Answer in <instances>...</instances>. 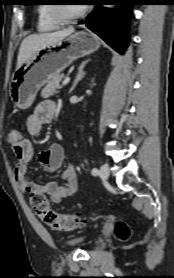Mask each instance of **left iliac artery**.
Listing matches in <instances>:
<instances>
[{"instance_id": "left-iliac-artery-1", "label": "left iliac artery", "mask_w": 174, "mask_h": 278, "mask_svg": "<svg viewBox=\"0 0 174 278\" xmlns=\"http://www.w3.org/2000/svg\"><path fill=\"white\" fill-rule=\"evenodd\" d=\"M92 175L96 176L99 174V171L97 168H93L92 171H91Z\"/></svg>"}]
</instances>
